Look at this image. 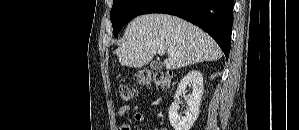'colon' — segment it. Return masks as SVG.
Instances as JSON below:
<instances>
[{
  "label": "colon",
  "instance_id": "obj_1",
  "mask_svg": "<svg viewBox=\"0 0 299 130\" xmlns=\"http://www.w3.org/2000/svg\"><path fill=\"white\" fill-rule=\"evenodd\" d=\"M138 83L142 86L154 85L159 89H166L171 86L172 73L168 71H152L148 69L138 70L135 73ZM119 98L122 102H128L132 98V91L126 85L119 87Z\"/></svg>",
  "mask_w": 299,
  "mask_h": 130
}]
</instances>
